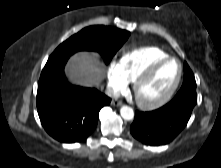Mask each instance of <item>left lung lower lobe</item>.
<instances>
[{
    "instance_id": "0a47b994",
    "label": "left lung lower lobe",
    "mask_w": 221,
    "mask_h": 168,
    "mask_svg": "<svg viewBox=\"0 0 221 168\" xmlns=\"http://www.w3.org/2000/svg\"><path fill=\"white\" fill-rule=\"evenodd\" d=\"M196 103V86H182L163 107L150 112L136 111L130 132L146 145L168 144L185 128Z\"/></svg>"
}]
</instances>
